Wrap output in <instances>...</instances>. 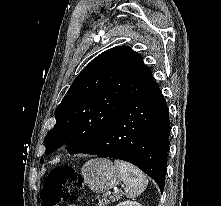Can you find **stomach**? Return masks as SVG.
<instances>
[{"label":"stomach","mask_w":221,"mask_h":206,"mask_svg":"<svg viewBox=\"0 0 221 206\" xmlns=\"http://www.w3.org/2000/svg\"><path fill=\"white\" fill-rule=\"evenodd\" d=\"M81 174L88 187L103 193L118 185L122 179L119 169L109 159L95 158L86 162Z\"/></svg>","instance_id":"0dacf381"}]
</instances>
